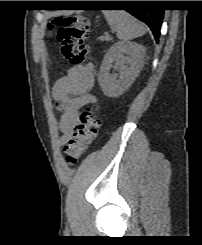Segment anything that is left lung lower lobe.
I'll return each instance as SVG.
<instances>
[{
    "instance_id": "0a47b994",
    "label": "left lung lower lobe",
    "mask_w": 202,
    "mask_h": 245,
    "mask_svg": "<svg viewBox=\"0 0 202 245\" xmlns=\"http://www.w3.org/2000/svg\"><path fill=\"white\" fill-rule=\"evenodd\" d=\"M106 6H139V8H127L126 11L132 14L137 19L146 23L156 39V42L159 41L160 28L163 20V10L157 8H146L154 4L153 1H104Z\"/></svg>"
}]
</instances>
